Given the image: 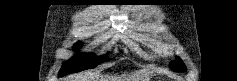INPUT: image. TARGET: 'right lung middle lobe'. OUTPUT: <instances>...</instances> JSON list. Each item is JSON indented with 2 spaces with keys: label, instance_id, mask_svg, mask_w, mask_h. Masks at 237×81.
<instances>
[{
  "label": "right lung middle lobe",
  "instance_id": "obj_1",
  "mask_svg": "<svg viewBox=\"0 0 237 81\" xmlns=\"http://www.w3.org/2000/svg\"><path fill=\"white\" fill-rule=\"evenodd\" d=\"M80 45L81 43L76 44L74 49H77ZM107 60L108 57L106 56L96 57L93 54L81 53L63 64L61 70L59 71V76H64L69 73H76L88 68H94L95 65L103 63Z\"/></svg>",
  "mask_w": 237,
  "mask_h": 81
}]
</instances>
